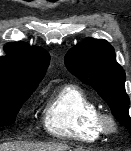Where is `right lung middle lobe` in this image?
Segmentation results:
<instances>
[{
    "instance_id": "1",
    "label": "right lung middle lobe",
    "mask_w": 131,
    "mask_h": 151,
    "mask_svg": "<svg viewBox=\"0 0 131 151\" xmlns=\"http://www.w3.org/2000/svg\"><path fill=\"white\" fill-rule=\"evenodd\" d=\"M35 88L0 85V127L14 123L21 106Z\"/></svg>"
}]
</instances>
